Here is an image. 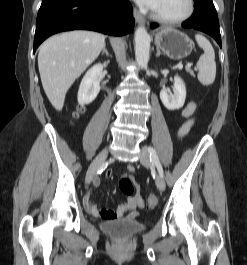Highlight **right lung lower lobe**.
Wrapping results in <instances>:
<instances>
[{"instance_id": "98d812e1", "label": "right lung lower lobe", "mask_w": 247, "mask_h": 265, "mask_svg": "<svg viewBox=\"0 0 247 265\" xmlns=\"http://www.w3.org/2000/svg\"><path fill=\"white\" fill-rule=\"evenodd\" d=\"M134 28L128 0H42L36 21L34 52L49 36L86 29L121 36Z\"/></svg>"}]
</instances>
